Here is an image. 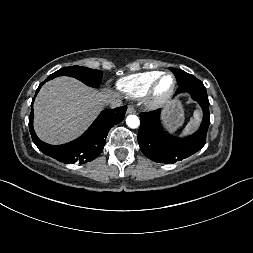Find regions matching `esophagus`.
Segmentation results:
<instances>
[{
    "mask_svg": "<svg viewBox=\"0 0 253 253\" xmlns=\"http://www.w3.org/2000/svg\"><path fill=\"white\" fill-rule=\"evenodd\" d=\"M127 113L128 114H132V113H135V108L131 105L128 106V109H127Z\"/></svg>",
    "mask_w": 253,
    "mask_h": 253,
    "instance_id": "1",
    "label": "esophagus"
}]
</instances>
